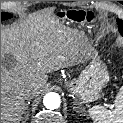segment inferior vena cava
I'll return each mask as SVG.
<instances>
[{"label": "inferior vena cava", "mask_w": 123, "mask_h": 123, "mask_svg": "<svg viewBox=\"0 0 123 123\" xmlns=\"http://www.w3.org/2000/svg\"><path fill=\"white\" fill-rule=\"evenodd\" d=\"M24 96H25L26 99L32 98V97L35 96V92L33 91L32 87H27L24 90Z\"/></svg>", "instance_id": "inferior-vena-cava-1"}]
</instances>
